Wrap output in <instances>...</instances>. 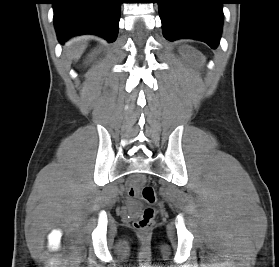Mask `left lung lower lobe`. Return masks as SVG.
<instances>
[{
    "mask_svg": "<svg viewBox=\"0 0 279 267\" xmlns=\"http://www.w3.org/2000/svg\"><path fill=\"white\" fill-rule=\"evenodd\" d=\"M164 36L192 38L215 49L220 41L224 0H158Z\"/></svg>",
    "mask_w": 279,
    "mask_h": 267,
    "instance_id": "0a47b994",
    "label": "left lung lower lobe"
}]
</instances>
